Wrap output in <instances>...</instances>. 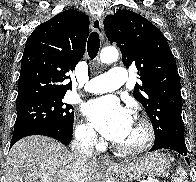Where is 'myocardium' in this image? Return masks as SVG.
<instances>
[{"label":"myocardium","instance_id":"f54148a6","mask_svg":"<svg viewBox=\"0 0 196 182\" xmlns=\"http://www.w3.org/2000/svg\"><path fill=\"white\" fill-rule=\"evenodd\" d=\"M135 120L142 126L144 130V140L142 141L141 144L133 147L121 146L118 143H116L115 148L123 154H127V155L141 154L146 150H148L154 142L155 131L151 122L147 118L139 115L135 117Z\"/></svg>","mask_w":196,"mask_h":182}]
</instances>
